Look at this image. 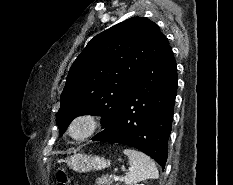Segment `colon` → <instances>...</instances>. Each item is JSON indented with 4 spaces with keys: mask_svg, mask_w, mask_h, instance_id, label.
<instances>
[{
    "mask_svg": "<svg viewBox=\"0 0 233 185\" xmlns=\"http://www.w3.org/2000/svg\"><path fill=\"white\" fill-rule=\"evenodd\" d=\"M56 183L57 185H68L69 177L64 169H59L56 173Z\"/></svg>",
    "mask_w": 233,
    "mask_h": 185,
    "instance_id": "obj_1",
    "label": "colon"
}]
</instances>
